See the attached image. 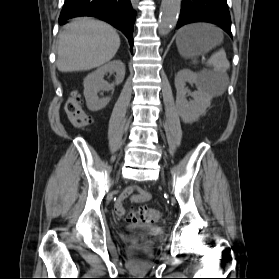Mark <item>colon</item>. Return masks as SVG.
Returning <instances> with one entry per match:
<instances>
[{
	"label": "colon",
	"mask_w": 279,
	"mask_h": 279,
	"mask_svg": "<svg viewBox=\"0 0 279 279\" xmlns=\"http://www.w3.org/2000/svg\"><path fill=\"white\" fill-rule=\"evenodd\" d=\"M65 112L75 128L83 129L91 123V118L82 107L81 97L75 91L71 92L65 103ZM160 216V212L154 208L134 209L124 215L125 219L132 223H154Z\"/></svg>",
	"instance_id": "1"
}]
</instances>
